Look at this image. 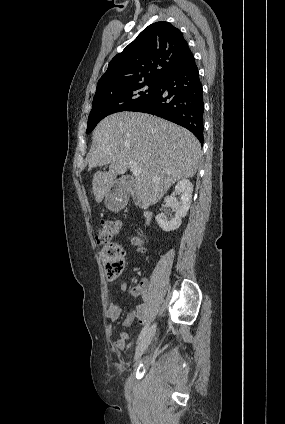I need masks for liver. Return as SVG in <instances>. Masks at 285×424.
Masks as SVG:
<instances>
[{
	"label": "liver",
	"mask_w": 285,
	"mask_h": 424,
	"mask_svg": "<svg viewBox=\"0 0 285 424\" xmlns=\"http://www.w3.org/2000/svg\"><path fill=\"white\" fill-rule=\"evenodd\" d=\"M201 145L187 129L139 112H120L103 119L93 131L89 168L110 164L93 175L95 200L101 203L130 162L141 167L135 191L140 202L157 203L178 180L193 177Z\"/></svg>",
	"instance_id": "obj_1"
}]
</instances>
